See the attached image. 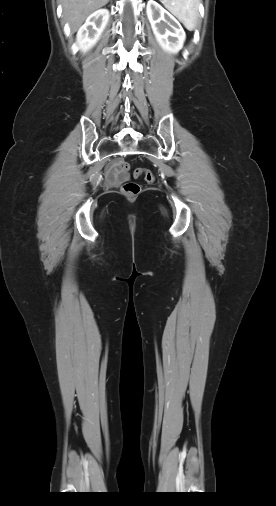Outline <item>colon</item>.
<instances>
[{"mask_svg": "<svg viewBox=\"0 0 276 506\" xmlns=\"http://www.w3.org/2000/svg\"><path fill=\"white\" fill-rule=\"evenodd\" d=\"M115 167L122 172H127L130 169V165L127 162H116ZM134 176L136 178L143 176L148 183H153L155 181L154 173L143 168L136 169L134 171ZM121 190L125 196L134 198L140 193V186L136 182L129 181L123 184Z\"/></svg>", "mask_w": 276, "mask_h": 506, "instance_id": "5ec220e1", "label": "colon"}]
</instances>
